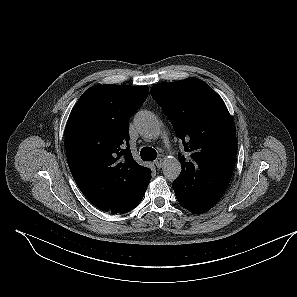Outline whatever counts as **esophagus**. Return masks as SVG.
<instances>
[{"label": "esophagus", "mask_w": 297, "mask_h": 297, "mask_svg": "<svg viewBox=\"0 0 297 297\" xmlns=\"http://www.w3.org/2000/svg\"><path fill=\"white\" fill-rule=\"evenodd\" d=\"M154 163L158 168H161L164 164V160L163 158L159 157L154 161Z\"/></svg>", "instance_id": "esophagus-1"}]
</instances>
